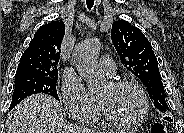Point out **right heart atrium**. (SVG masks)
Instances as JSON below:
<instances>
[{
	"label": "right heart atrium",
	"mask_w": 184,
	"mask_h": 133,
	"mask_svg": "<svg viewBox=\"0 0 184 133\" xmlns=\"http://www.w3.org/2000/svg\"><path fill=\"white\" fill-rule=\"evenodd\" d=\"M62 98L68 115L80 121H92L99 113L96 99L77 78L65 79L62 84Z\"/></svg>",
	"instance_id": "d8ad5b80"
}]
</instances>
